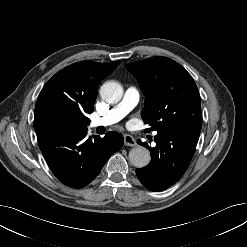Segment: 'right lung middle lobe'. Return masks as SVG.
<instances>
[{"label": "right lung middle lobe", "mask_w": 247, "mask_h": 247, "mask_svg": "<svg viewBox=\"0 0 247 247\" xmlns=\"http://www.w3.org/2000/svg\"><path fill=\"white\" fill-rule=\"evenodd\" d=\"M87 126L80 121L66 116V115H55L48 119L45 125L46 131H76L86 129Z\"/></svg>", "instance_id": "dd1d6c3e"}]
</instances>
